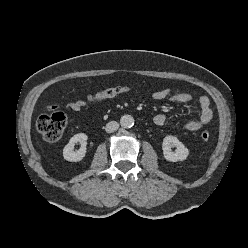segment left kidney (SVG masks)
Segmentation results:
<instances>
[{"mask_svg":"<svg viewBox=\"0 0 248 248\" xmlns=\"http://www.w3.org/2000/svg\"><path fill=\"white\" fill-rule=\"evenodd\" d=\"M176 147L175 152L171 148ZM163 156L167 161L177 162L187 158L189 151L175 136H166L162 143Z\"/></svg>","mask_w":248,"mask_h":248,"instance_id":"5707ae66","label":"left kidney"}]
</instances>
